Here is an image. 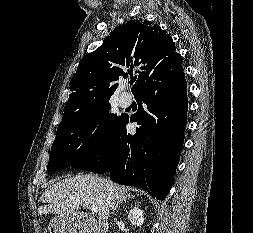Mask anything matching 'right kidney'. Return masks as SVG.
<instances>
[{
	"instance_id": "1",
	"label": "right kidney",
	"mask_w": 253,
	"mask_h": 233,
	"mask_svg": "<svg viewBox=\"0 0 253 233\" xmlns=\"http://www.w3.org/2000/svg\"><path fill=\"white\" fill-rule=\"evenodd\" d=\"M128 219L134 226H142L144 223L143 211L135 206L129 213Z\"/></svg>"
}]
</instances>
